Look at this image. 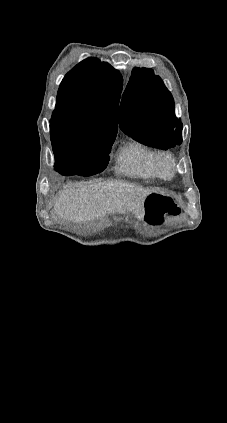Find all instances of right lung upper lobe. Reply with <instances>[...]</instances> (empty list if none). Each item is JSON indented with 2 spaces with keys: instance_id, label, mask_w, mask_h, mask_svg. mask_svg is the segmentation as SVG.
I'll use <instances>...</instances> for the list:
<instances>
[{
  "instance_id": "obj_1",
  "label": "right lung upper lobe",
  "mask_w": 227,
  "mask_h": 423,
  "mask_svg": "<svg viewBox=\"0 0 227 423\" xmlns=\"http://www.w3.org/2000/svg\"><path fill=\"white\" fill-rule=\"evenodd\" d=\"M122 87L120 72L97 58L75 66L58 91L50 125L51 141L116 137Z\"/></svg>"
}]
</instances>
